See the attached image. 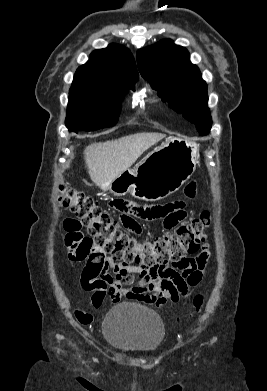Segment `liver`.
Segmentation results:
<instances>
[{"mask_svg":"<svg viewBox=\"0 0 267 391\" xmlns=\"http://www.w3.org/2000/svg\"><path fill=\"white\" fill-rule=\"evenodd\" d=\"M165 137L161 133H137L87 146L84 157L91 180L101 190H108L114 179Z\"/></svg>","mask_w":267,"mask_h":391,"instance_id":"obj_1","label":"liver"}]
</instances>
